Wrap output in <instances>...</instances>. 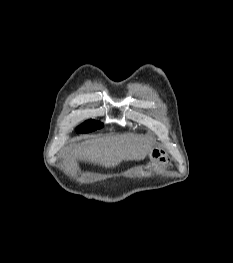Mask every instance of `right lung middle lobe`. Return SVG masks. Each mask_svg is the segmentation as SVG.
<instances>
[{"label": "right lung middle lobe", "mask_w": 233, "mask_h": 263, "mask_svg": "<svg viewBox=\"0 0 233 263\" xmlns=\"http://www.w3.org/2000/svg\"><path fill=\"white\" fill-rule=\"evenodd\" d=\"M103 127V124L95 121V120H88L85 123L81 124L77 127L76 132L77 133H87L91 132L97 129H100Z\"/></svg>", "instance_id": "obj_1"}]
</instances>
